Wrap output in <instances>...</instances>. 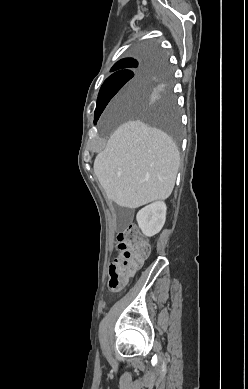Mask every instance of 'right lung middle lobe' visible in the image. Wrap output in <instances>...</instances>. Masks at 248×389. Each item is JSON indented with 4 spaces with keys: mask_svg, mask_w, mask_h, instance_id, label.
Wrapping results in <instances>:
<instances>
[{
    "mask_svg": "<svg viewBox=\"0 0 248 389\" xmlns=\"http://www.w3.org/2000/svg\"><path fill=\"white\" fill-rule=\"evenodd\" d=\"M152 50L156 49L148 47L141 58H147V54ZM128 82L134 86L148 85L145 100L133 102L128 106L129 115L160 128L173 141L179 143V115L172 95V71L163 54L155 59V67L137 63L119 69L107 78L98 94L94 123L96 124L113 96Z\"/></svg>",
    "mask_w": 248,
    "mask_h": 389,
    "instance_id": "1",
    "label": "right lung middle lobe"
}]
</instances>
